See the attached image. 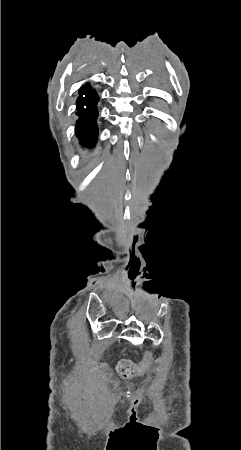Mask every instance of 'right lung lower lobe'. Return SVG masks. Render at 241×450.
<instances>
[{
    "label": "right lung lower lobe",
    "mask_w": 241,
    "mask_h": 450,
    "mask_svg": "<svg viewBox=\"0 0 241 450\" xmlns=\"http://www.w3.org/2000/svg\"><path fill=\"white\" fill-rule=\"evenodd\" d=\"M98 102L99 96L89 83L80 88L76 103V115L78 116L76 135L82 145L86 147L94 146L97 141Z\"/></svg>",
    "instance_id": "98d812e1"
}]
</instances>
